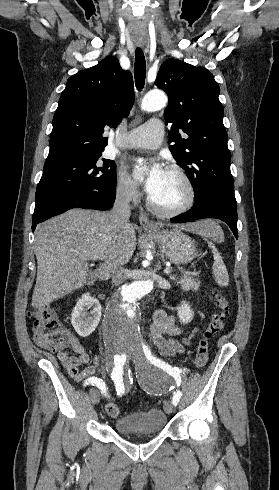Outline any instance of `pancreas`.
<instances>
[{
	"instance_id": "pancreas-1",
	"label": "pancreas",
	"mask_w": 279,
	"mask_h": 490,
	"mask_svg": "<svg viewBox=\"0 0 279 490\" xmlns=\"http://www.w3.org/2000/svg\"><path fill=\"white\" fill-rule=\"evenodd\" d=\"M181 274H184V276H181V278H176V274H167L169 276L170 280H176L177 284H181L182 290H192V288H198L199 284L195 282V280H192V276H190V272H184V270H180Z\"/></svg>"
}]
</instances>
